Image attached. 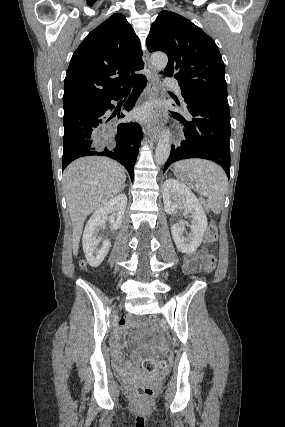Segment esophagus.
Returning <instances> with one entry per match:
<instances>
[{
	"label": "esophagus",
	"mask_w": 285,
	"mask_h": 427,
	"mask_svg": "<svg viewBox=\"0 0 285 427\" xmlns=\"http://www.w3.org/2000/svg\"><path fill=\"white\" fill-rule=\"evenodd\" d=\"M147 67L150 71L148 76V86H147V97L149 100H155L157 98V74L155 69L151 66L149 59L147 58ZM160 109L154 107L151 111L150 119L147 123V131L151 138L158 140L159 137V123L158 117L160 115Z\"/></svg>",
	"instance_id": "obj_1"
}]
</instances>
